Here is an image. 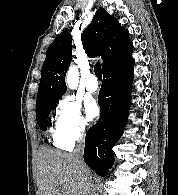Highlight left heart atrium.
<instances>
[{
    "label": "left heart atrium",
    "mask_w": 178,
    "mask_h": 195,
    "mask_svg": "<svg viewBox=\"0 0 178 195\" xmlns=\"http://www.w3.org/2000/svg\"><path fill=\"white\" fill-rule=\"evenodd\" d=\"M85 112L87 120L91 121L99 115V106L95 99L88 98L85 101Z\"/></svg>",
    "instance_id": "39dd6f15"
}]
</instances>
